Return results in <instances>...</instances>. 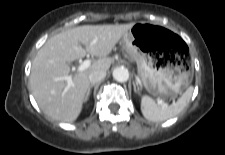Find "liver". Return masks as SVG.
Instances as JSON below:
<instances>
[{
	"instance_id": "liver-1",
	"label": "liver",
	"mask_w": 225,
	"mask_h": 155,
	"mask_svg": "<svg viewBox=\"0 0 225 155\" xmlns=\"http://www.w3.org/2000/svg\"><path fill=\"white\" fill-rule=\"evenodd\" d=\"M134 24L83 25L48 39L37 52L30 74L32 95L44 114L57 121H75L86 100L90 73L110 68L112 59L109 54ZM87 54L99 59L75 74L69 86L62 79L70 73L68 63Z\"/></svg>"
}]
</instances>
